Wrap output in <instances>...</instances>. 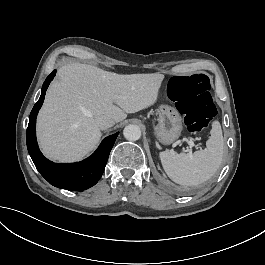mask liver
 <instances>
[{"instance_id":"obj_1","label":"liver","mask_w":265,"mask_h":265,"mask_svg":"<svg viewBox=\"0 0 265 265\" xmlns=\"http://www.w3.org/2000/svg\"><path fill=\"white\" fill-rule=\"evenodd\" d=\"M163 79L159 73L121 75L88 64L63 65L37 118L43 154L58 162L81 160L101 139L99 117L120 122L153 105Z\"/></svg>"}]
</instances>
